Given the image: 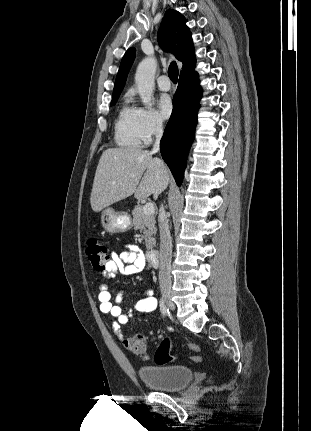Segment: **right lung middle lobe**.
Here are the masks:
<instances>
[{"label":"right lung middle lobe","instance_id":"right-lung-middle-lobe-1","mask_svg":"<svg viewBox=\"0 0 311 431\" xmlns=\"http://www.w3.org/2000/svg\"><path fill=\"white\" fill-rule=\"evenodd\" d=\"M117 99H118V97L112 98L110 105L113 106L116 103Z\"/></svg>","mask_w":311,"mask_h":431}]
</instances>
